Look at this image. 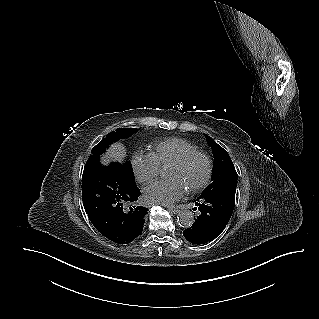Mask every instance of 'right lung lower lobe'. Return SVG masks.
Returning <instances> with one entry per match:
<instances>
[{"label": "right lung lower lobe", "mask_w": 319, "mask_h": 319, "mask_svg": "<svg viewBox=\"0 0 319 319\" xmlns=\"http://www.w3.org/2000/svg\"><path fill=\"white\" fill-rule=\"evenodd\" d=\"M140 194L127 164L106 167L95 155L87 160L82 201L90 221L106 238L127 244L142 233L148 209L137 206Z\"/></svg>", "instance_id": "1"}]
</instances>
